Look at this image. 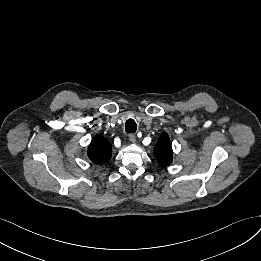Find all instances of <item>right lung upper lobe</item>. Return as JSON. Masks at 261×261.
Segmentation results:
<instances>
[{
    "mask_svg": "<svg viewBox=\"0 0 261 261\" xmlns=\"http://www.w3.org/2000/svg\"><path fill=\"white\" fill-rule=\"evenodd\" d=\"M88 156L96 164L106 163L111 158V144L102 135L94 136L88 148Z\"/></svg>",
    "mask_w": 261,
    "mask_h": 261,
    "instance_id": "right-lung-upper-lobe-1",
    "label": "right lung upper lobe"
}]
</instances>
